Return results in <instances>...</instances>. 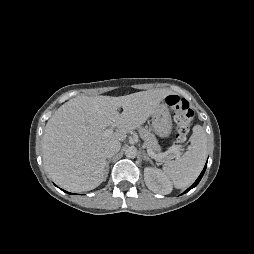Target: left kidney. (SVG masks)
Instances as JSON below:
<instances>
[{"label":"left kidney","instance_id":"5707ae66","mask_svg":"<svg viewBox=\"0 0 254 254\" xmlns=\"http://www.w3.org/2000/svg\"><path fill=\"white\" fill-rule=\"evenodd\" d=\"M144 180L148 189L154 193L166 195L172 191L170 180L160 169L146 167L144 169Z\"/></svg>","mask_w":254,"mask_h":254}]
</instances>
